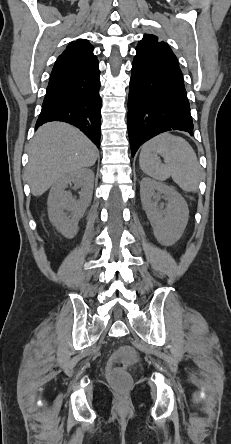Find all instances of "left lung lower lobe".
I'll return each instance as SVG.
<instances>
[{"label":"left lung lower lobe","mask_w":231,"mask_h":444,"mask_svg":"<svg viewBox=\"0 0 231 444\" xmlns=\"http://www.w3.org/2000/svg\"><path fill=\"white\" fill-rule=\"evenodd\" d=\"M131 153L159 133L172 129L192 135L193 122L182 72L175 60L137 52L128 98Z\"/></svg>","instance_id":"obj_1"}]
</instances>
